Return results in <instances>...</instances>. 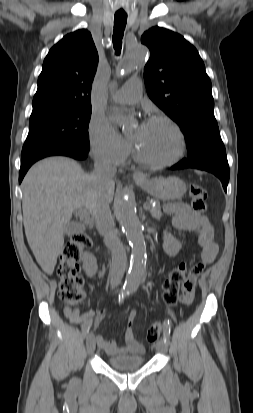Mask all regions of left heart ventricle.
I'll return each instance as SVG.
<instances>
[{"label":"left heart ventricle","mask_w":253,"mask_h":413,"mask_svg":"<svg viewBox=\"0 0 253 413\" xmlns=\"http://www.w3.org/2000/svg\"><path fill=\"white\" fill-rule=\"evenodd\" d=\"M132 138L142 154L154 161L172 158L178 148L175 133L168 124L161 121L147 122L136 128Z\"/></svg>","instance_id":"1"}]
</instances>
